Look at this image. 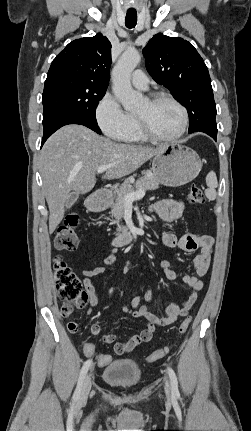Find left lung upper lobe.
Returning a JSON list of instances; mask_svg holds the SVG:
<instances>
[{
	"mask_svg": "<svg viewBox=\"0 0 251 431\" xmlns=\"http://www.w3.org/2000/svg\"><path fill=\"white\" fill-rule=\"evenodd\" d=\"M146 69L168 88L189 114V133L202 130L217 134L216 105L208 69L186 40L156 34L143 49Z\"/></svg>",
	"mask_w": 251,
	"mask_h": 431,
	"instance_id": "obj_1",
	"label": "left lung upper lobe"
}]
</instances>
